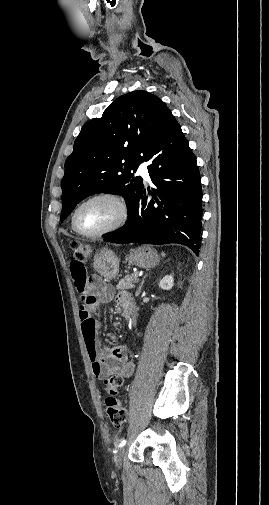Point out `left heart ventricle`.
<instances>
[{
	"instance_id": "left-heart-ventricle-1",
	"label": "left heart ventricle",
	"mask_w": 269,
	"mask_h": 505,
	"mask_svg": "<svg viewBox=\"0 0 269 505\" xmlns=\"http://www.w3.org/2000/svg\"><path fill=\"white\" fill-rule=\"evenodd\" d=\"M119 216V207L109 199H97L84 205L77 215V225L85 232L101 231L113 224Z\"/></svg>"
}]
</instances>
